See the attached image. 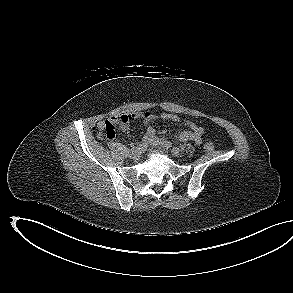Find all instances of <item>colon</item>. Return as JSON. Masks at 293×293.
Returning <instances> with one entry per match:
<instances>
[{"label":"colon","mask_w":293,"mask_h":293,"mask_svg":"<svg viewBox=\"0 0 293 293\" xmlns=\"http://www.w3.org/2000/svg\"><path fill=\"white\" fill-rule=\"evenodd\" d=\"M118 124H123V120L122 119H115V118L107 120L105 123L104 130L101 132L100 136L106 140H110V139L114 138L115 127ZM165 148H167V147H165ZM204 148L206 151L210 152L214 149V145L211 141H207L205 143Z\"/></svg>","instance_id":"1"}]
</instances>
